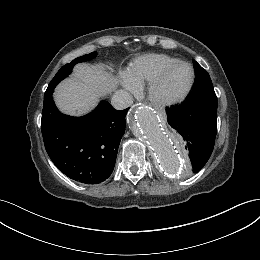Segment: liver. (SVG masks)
Returning <instances> with one entry per match:
<instances>
[{"label": "liver", "mask_w": 260, "mask_h": 260, "mask_svg": "<svg viewBox=\"0 0 260 260\" xmlns=\"http://www.w3.org/2000/svg\"><path fill=\"white\" fill-rule=\"evenodd\" d=\"M117 85L118 79L103 66L78 64L74 75L57 86L54 99L63 113L81 116L97 105L99 97L110 93Z\"/></svg>", "instance_id": "obj_1"}]
</instances>
